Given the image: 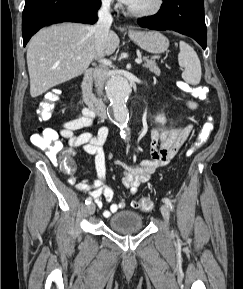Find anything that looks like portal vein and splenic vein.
<instances>
[{
    "instance_id": "1",
    "label": "portal vein and splenic vein",
    "mask_w": 243,
    "mask_h": 289,
    "mask_svg": "<svg viewBox=\"0 0 243 289\" xmlns=\"http://www.w3.org/2000/svg\"><path fill=\"white\" fill-rule=\"evenodd\" d=\"M78 60L81 59V57H77ZM137 64H141L142 63V59L141 58H138L135 60ZM101 63L104 64V65H111V62L107 59H103L101 60Z\"/></svg>"
}]
</instances>
